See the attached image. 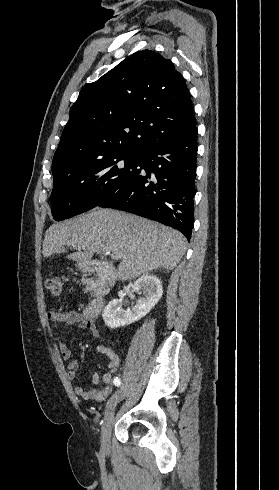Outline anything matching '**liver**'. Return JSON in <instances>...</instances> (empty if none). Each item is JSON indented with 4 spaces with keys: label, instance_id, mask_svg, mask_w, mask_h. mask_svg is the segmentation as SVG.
Listing matches in <instances>:
<instances>
[{
    "label": "liver",
    "instance_id": "6515ba94",
    "mask_svg": "<svg viewBox=\"0 0 279 490\" xmlns=\"http://www.w3.org/2000/svg\"><path fill=\"white\" fill-rule=\"evenodd\" d=\"M183 234L158 222L132 216L118 210L94 208L73 220L52 224L45 232L42 254H62L77 262L78 268L91 264L94 254H111L121 260L117 278L133 280L158 268L174 270L186 250Z\"/></svg>",
    "mask_w": 279,
    "mask_h": 490
}]
</instances>
